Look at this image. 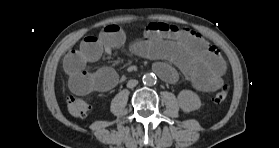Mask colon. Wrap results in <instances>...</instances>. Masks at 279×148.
Instances as JSON below:
<instances>
[{
  "instance_id": "1",
  "label": "colon",
  "mask_w": 279,
  "mask_h": 148,
  "mask_svg": "<svg viewBox=\"0 0 279 148\" xmlns=\"http://www.w3.org/2000/svg\"><path fill=\"white\" fill-rule=\"evenodd\" d=\"M228 96V87L222 86L213 96V100L216 102L224 101ZM67 108L71 115L83 118L90 112L89 104L82 98L76 96H70L67 100Z\"/></svg>"
}]
</instances>
